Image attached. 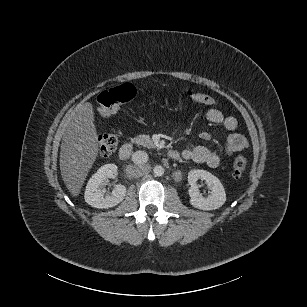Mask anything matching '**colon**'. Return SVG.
<instances>
[{
    "label": "colon",
    "mask_w": 307,
    "mask_h": 307,
    "mask_svg": "<svg viewBox=\"0 0 307 307\" xmlns=\"http://www.w3.org/2000/svg\"><path fill=\"white\" fill-rule=\"evenodd\" d=\"M188 99L195 103L204 105H214L215 99L207 94L187 91ZM136 96V89L132 84L125 83L106 91H103L98 97L97 115L99 117H109L113 115L118 108L125 103L132 101ZM120 142V133L117 131L102 134L98 139L99 156L101 158L109 157L114 153ZM247 161L242 155H238L233 162L232 175L235 179H240L246 169Z\"/></svg>",
    "instance_id": "colon-1"
}]
</instances>
